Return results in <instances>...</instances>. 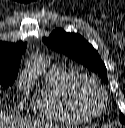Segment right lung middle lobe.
<instances>
[{"label": "right lung middle lobe", "instance_id": "dd1d6c3e", "mask_svg": "<svg viewBox=\"0 0 125 128\" xmlns=\"http://www.w3.org/2000/svg\"><path fill=\"white\" fill-rule=\"evenodd\" d=\"M18 69L0 68V85L11 86L17 76Z\"/></svg>", "mask_w": 125, "mask_h": 128}]
</instances>
